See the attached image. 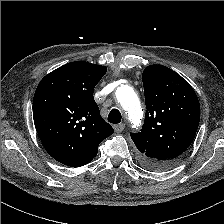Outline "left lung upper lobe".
I'll use <instances>...</instances> for the list:
<instances>
[{
  "label": "left lung upper lobe",
  "instance_id": "left-lung-upper-lobe-1",
  "mask_svg": "<svg viewBox=\"0 0 224 224\" xmlns=\"http://www.w3.org/2000/svg\"><path fill=\"white\" fill-rule=\"evenodd\" d=\"M142 80L145 121L140 132L130 135L145 166L167 169L180 160L195 137L199 101L190 84L166 66H147Z\"/></svg>",
  "mask_w": 224,
  "mask_h": 224
}]
</instances>
